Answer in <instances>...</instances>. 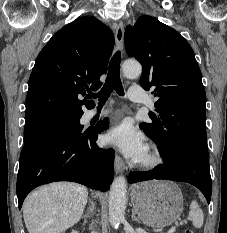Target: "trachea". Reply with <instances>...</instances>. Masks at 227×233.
<instances>
[{
    "instance_id": "1",
    "label": "trachea",
    "mask_w": 227,
    "mask_h": 233,
    "mask_svg": "<svg viewBox=\"0 0 227 233\" xmlns=\"http://www.w3.org/2000/svg\"><path fill=\"white\" fill-rule=\"evenodd\" d=\"M120 63L121 54L118 51L114 54L110 61L109 70L104 86L97 94H90L91 98H99V106L105 104L113 90H115L120 96L124 95V90L120 79Z\"/></svg>"
}]
</instances>
